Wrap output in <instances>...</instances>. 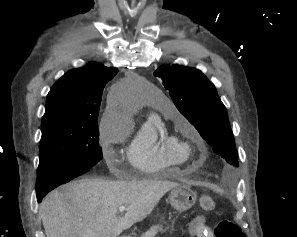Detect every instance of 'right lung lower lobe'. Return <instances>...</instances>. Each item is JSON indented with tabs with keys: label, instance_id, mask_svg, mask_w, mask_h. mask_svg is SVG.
<instances>
[{
	"label": "right lung lower lobe",
	"instance_id": "98d812e1",
	"mask_svg": "<svg viewBox=\"0 0 297 237\" xmlns=\"http://www.w3.org/2000/svg\"><path fill=\"white\" fill-rule=\"evenodd\" d=\"M79 175H70L64 178H61L58 183L56 184V187L61 185V184H65L75 178H77ZM54 188H50V189H46V190H39V188H36V194H37V200L40 201L43 197L46 196V194L51 191Z\"/></svg>",
	"mask_w": 297,
	"mask_h": 237
}]
</instances>
